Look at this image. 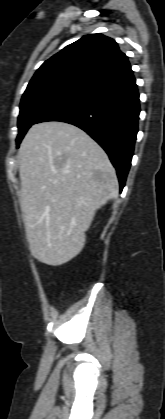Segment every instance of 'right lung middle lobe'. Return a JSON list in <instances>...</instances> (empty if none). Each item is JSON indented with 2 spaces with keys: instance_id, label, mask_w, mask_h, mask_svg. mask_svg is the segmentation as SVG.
Here are the masks:
<instances>
[{
  "instance_id": "1",
  "label": "right lung middle lobe",
  "mask_w": 165,
  "mask_h": 419,
  "mask_svg": "<svg viewBox=\"0 0 165 419\" xmlns=\"http://www.w3.org/2000/svg\"><path fill=\"white\" fill-rule=\"evenodd\" d=\"M84 94L86 93L81 90L61 86L46 87L24 93L18 117L17 148L27 130L42 116Z\"/></svg>"
}]
</instances>
